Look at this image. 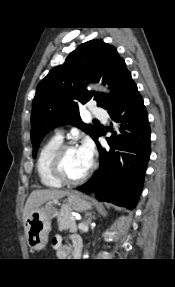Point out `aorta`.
<instances>
[{"label":"aorta","mask_w":175,"mask_h":287,"mask_svg":"<svg viewBox=\"0 0 175 287\" xmlns=\"http://www.w3.org/2000/svg\"><path fill=\"white\" fill-rule=\"evenodd\" d=\"M84 257H85V259H86V258L88 257V255H87V254H85V255H84Z\"/></svg>","instance_id":"aorta-1"}]
</instances>
